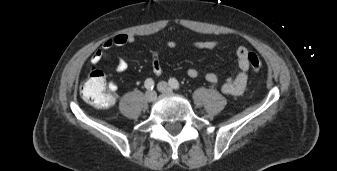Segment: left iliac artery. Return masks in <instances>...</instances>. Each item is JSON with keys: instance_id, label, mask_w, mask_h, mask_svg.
<instances>
[{"instance_id": "obj_1", "label": "left iliac artery", "mask_w": 337, "mask_h": 171, "mask_svg": "<svg viewBox=\"0 0 337 171\" xmlns=\"http://www.w3.org/2000/svg\"><path fill=\"white\" fill-rule=\"evenodd\" d=\"M169 85L174 89H180V84L175 78L169 80Z\"/></svg>"}]
</instances>
